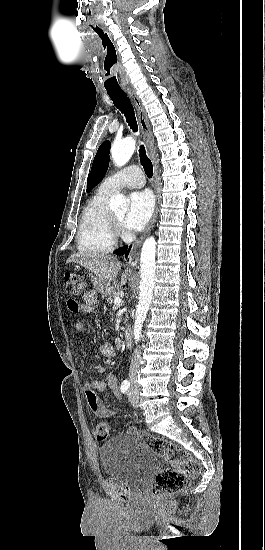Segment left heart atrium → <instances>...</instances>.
<instances>
[{
    "mask_svg": "<svg viewBox=\"0 0 265 550\" xmlns=\"http://www.w3.org/2000/svg\"><path fill=\"white\" fill-rule=\"evenodd\" d=\"M154 202L148 191H139L131 194L129 210L124 218L125 228L137 231L145 227L153 213Z\"/></svg>",
    "mask_w": 265,
    "mask_h": 550,
    "instance_id": "1",
    "label": "left heart atrium"
}]
</instances>
